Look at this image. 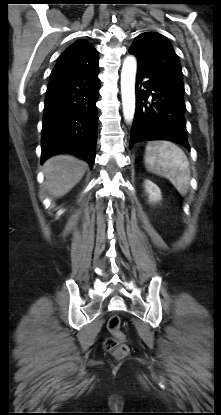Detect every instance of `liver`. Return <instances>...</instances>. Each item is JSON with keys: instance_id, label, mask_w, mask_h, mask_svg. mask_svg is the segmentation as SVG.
<instances>
[{"instance_id": "6515ba94", "label": "liver", "mask_w": 221, "mask_h": 415, "mask_svg": "<svg viewBox=\"0 0 221 415\" xmlns=\"http://www.w3.org/2000/svg\"><path fill=\"white\" fill-rule=\"evenodd\" d=\"M86 162L72 155H56L45 161V186L55 197L67 194L84 176Z\"/></svg>"}]
</instances>
